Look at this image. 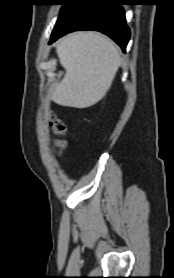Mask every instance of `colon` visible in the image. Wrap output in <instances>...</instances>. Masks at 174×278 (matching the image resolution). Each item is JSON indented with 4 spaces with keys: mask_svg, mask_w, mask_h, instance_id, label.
Returning a JSON list of instances; mask_svg holds the SVG:
<instances>
[{
    "mask_svg": "<svg viewBox=\"0 0 174 278\" xmlns=\"http://www.w3.org/2000/svg\"><path fill=\"white\" fill-rule=\"evenodd\" d=\"M50 128L52 132L57 136L56 145L58 148L63 149L66 146V142L62 139L63 134L65 133L64 123L54 117L50 116Z\"/></svg>",
    "mask_w": 174,
    "mask_h": 278,
    "instance_id": "obj_1",
    "label": "colon"
}]
</instances>
